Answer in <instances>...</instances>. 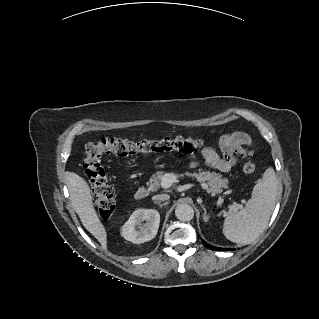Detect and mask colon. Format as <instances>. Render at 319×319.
Wrapping results in <instances>:
<instances>
[{"instance_id": "colon-1", "label": "colon", "mask_w": 319, "mask_h": 319, "mask_svg": "<svg viewBox=\"0 0 319 319\" xmlns=\"http://www.w3.org/2000/svg\"><path fill=\"white\" fill-rule=\"evenodd\" d=\"M200 138H176L164 140L129 141L120 138H103L85 146L82 161L83 172L90 184L96 208L103 218H108L114 211V190L109 184L103 167L106 156L128 157L140 153L193 154L204 145ZM242 170L246 174H254L256 166L246 162Z\"/></svg>"}]
</instances>
